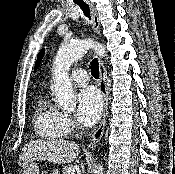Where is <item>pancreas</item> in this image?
<instances>
[{"label": "pancreas", "mask_w": 175, "mask_h": 174, "mask_svg": "<svg viewBox=\"0 0 175 174\" xmlns=\"http://www.w3.org/2000/svg\"><path fill=\"white\" fill-rule=\"evenodd\" d=\"M55 171L56 170H54L52 174H56V173H54ZM62 172H63V174H75L73 165H68L66 167H63Z\"/></svg>", "instance_id": "1"}]
</instances>
